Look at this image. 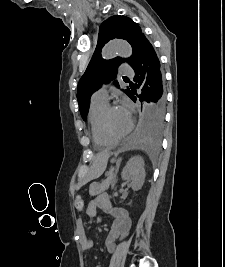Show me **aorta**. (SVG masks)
I'll list each match as a JSON object with an SVG mask.
<instances>
[{
  "label": "aorta",
  "instance_id": "762f6f07",
  "mask_svg": "<svg viewBox=\"0 0 225 267\" xmlns=\"http://www.w3.org/2000/svg\"><path fill=\"white\" fill-rule=\"evenodd\" d=\"M132 54V47L126 41H117L107 44L102 50V56L110 59L115 55L128 58Z\"/></svg>",
  "mask_w": 225,
  "mask_h": 267
}]
</instances>
